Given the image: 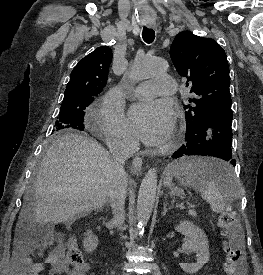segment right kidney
I'll return each mask as SVG.
<instances>
[{"label": "right kidney", "instance_id": "right-kidney-1", "mask_svg": "<svg viewBox=\"0 0 263 275\" xmlns=\"http://www.w3.org/2000/svg\"><path fill=\"white\" fill-rule=\"evenodd\" d=\"M83 246L87 252H93L98 246V237L91 230L85 233Z\"/></svg>", "mask_w": 263, "mask_h": 275}]
</instances>
